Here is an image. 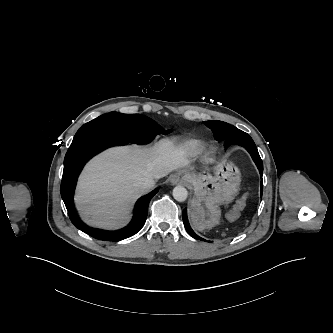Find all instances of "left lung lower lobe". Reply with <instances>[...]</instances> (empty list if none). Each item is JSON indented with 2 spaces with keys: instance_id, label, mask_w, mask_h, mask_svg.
Wrapping results in <instances>:
<instances>
[{
  "instance_id": "1",
  "label": "left lung lower lobe",
  "mask_w": 333,
  "mask_h": 333,
  "mask_svg": "<svg viewBox=\"0 0 333 333\" xmlns=\"http://www.w3.org/2000/svg\"><path fill=\"white\" fill-rule=\"evenodd\" d=\"M231 138L242 139V141L227 140L225 142V148H227L231 144H237V145H240V146H243L244 148H246V150L250 153L252 159L254 160L255 164L257 165V167L259 169V172H260V175H261V178H262L263 163H262L260 155L257 151L256 145L253 142V140L251 139V137L248 134L244 133L243 131H240L237 136H234V137H231ZM262 189H263V182L261 181V196H262ZM182 216H183V223H184V226H185L187 232L193 238L205 241L204 239H202L201 237L196 235L195 232L190 227L189 222H188V218H187L186 209L183 210Z\"/></svg>"
}]
</instances>
